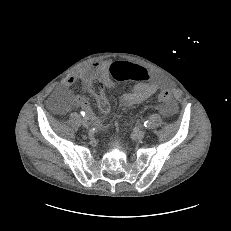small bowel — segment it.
<instances>
[{"mask_svg": "<svg viewBox=\"0 0 231 231\" xmlns=\"http://www.w3.org/2000/svg\"><path fill=\"white\" fill-rule=\"evenodd\" d=\"M110 65L111 63L109 61L94 62L89 67L79 71L77 74L67 76L62 81V85L65 87H70L77 81H81L84 87L91 91V82L95 78H99L104 82V85L107 88L115 89L116 85L109 73ZM162 85L163 81L161 78L157 76H150L147 73V78L145 80L138 81L132 90L124 92L120 95V104L123 106L140 104L152 97L161 88ZM96 99L98 102L97 96ZM75 103L83 110H85L88 114H91L90 105L85 98L81 96H76ZM175 110L176 105L174 103H171L167 107L162 109V113L166 116H170L174 114ZM92 120L96 127L100 125V120L93 115Z\"/></svg>", "mask_w": 231, "mask_h": 231, "instance_id": "1", "label": "small bowel"}]
</instances>
